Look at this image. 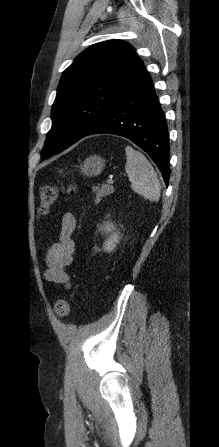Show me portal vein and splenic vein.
Segmentation results:
<instances>
[{"label":"portal vein and splenic vein","instance_id":"1","mask_svg":"<svg viewBox=\"0 0 219 447\" xmlns=\"http://www.w3.org/2000/svg\"><path fill=\"white\" fill-rule=\"evenodd\" d=\"M108 183H109L110 185H113V184H114L113 179H109V180H108Z\"/></svg>","mask_w":219,"mask_h":447}]
</instances>
